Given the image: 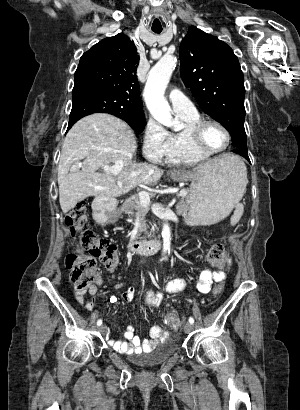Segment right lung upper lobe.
Here are the masks:
<instances>
[{"instance_id": "obj_1", "label": "right lung upper lobe", "mask_w": 300, "mask_h": 410, "mask_svg": "<svg viewBox=\"0 0 300 410\" xmlns=\"http://www.w3.org/2000/svg\"><path fill=\"white\" fill-rule=\"evenodd\" d=\"M139 56L134 42L120 33L101 40L80 58L74 85L89 84L112 94L122 116L143 115L136 70Z\"/></svg>"}]
</instances>
